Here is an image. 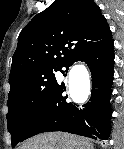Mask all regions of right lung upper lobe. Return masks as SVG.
I'll use <instances>...</instances> for the list:
<instances>
[{"mask_svg":"<svg viewBox=\"0 0 124 149\" xmlns=\"http://www.w3.org/2000/svg\"><path fill=\"white\" fill-rule=\"evenodd\" d=\"M111 38L109 25L93 0H55L21 31L10 86L36 72L66 67Z\"/></svg>","mask_w":124,"mask_h":149,"instance_id":"cb5924a9","label":"right lung upper lobe"}]
</instances>
